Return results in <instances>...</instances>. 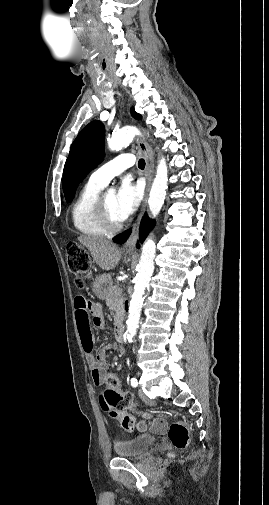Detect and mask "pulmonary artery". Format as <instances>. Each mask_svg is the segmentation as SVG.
<instances>
[{"label": "pulmonary artery", "instance_id": "pulmonary-artery-1", "mask_svg": "<svg viewBox=\"0 0 269 505\" xmlns=\"http://www.w3.org/2000/svg\"><path fill=\"white\" fill-rule=\"evenodd\" d=\"M134 161L133 155L121 154L96 169L90 175L89 181L93 184L104 187L112 178L131 167L134 164Z\"/></svg>", "mask_w": 269, "mask_h": 505}]
</instances>
